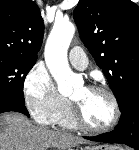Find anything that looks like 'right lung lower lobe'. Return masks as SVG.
Returning <instances> with one entry per match:
<instances>
[{"instance_id": "obj_1", "label": "right lung lower lobe", "mask_w": 139, "mask_h": 150, "mask_svg": "<svg viewBox=\"0 0 139 150\" xmlns=\"http://www.w3.org/2000/svg\"><path fill=\"white\" fill-rule=\"evenodd\" d=\"M15 111L23 113L29 117V113L25 107V101L8 95L0 94V113Z\"/></svg>"}]
</instances>
